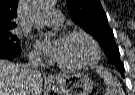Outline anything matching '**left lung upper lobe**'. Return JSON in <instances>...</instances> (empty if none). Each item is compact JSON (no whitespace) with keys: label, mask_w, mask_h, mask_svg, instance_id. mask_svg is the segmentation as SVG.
<instances>
[{"label":"left lung upper lobe","mask_w":135,"mask_h":95,"mask_svg":"<svg viewBox=\"0 0 135 95\" xmlns=\"http://www.w3.org/2000/svg\"><path fill=\"white\" fill-rule=\"evenodd\" d=\"M66 2L71 19L100 43L108 62L114 64L117 69L124 68L100 0H66Z\"/></svg>","instance_id":"5c2ea615"}]
</instances>
